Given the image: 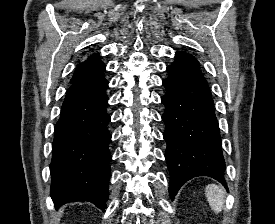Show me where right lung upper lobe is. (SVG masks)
Wrapping results in <instances>:
<instances>
[{
	"label": "right lung upper lobe",
	"instance_id": "obj_1",
	"mask_svg": "<svg viewBox=\"0 0 275 224\" xmlns=\"http://www.w3.org/2000/svg\"><path fill=\"white\" fill-rule=\"evenodd\" d=\"M104 71V63L100 60L98 54H94L92 57L88 58L77 66L70 83L74 84L83 80L103 75Z\"/></svg>",
	"mask_w": 275,
	"mask_h": 224
}]
</instances>
